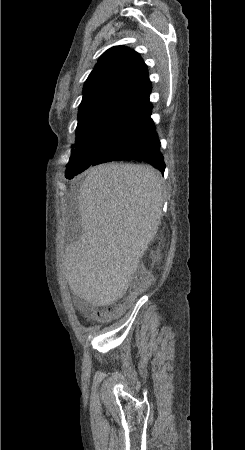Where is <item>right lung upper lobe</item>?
<instances>
[{
    "instance_id": "right-lung-upper-lobe-1",
    "label": "right lung upper lobe",
    "mask_w": 245,
    "mask_h": 450,
    "mask_svg": "<svg viewBox=\"0 0 245 450\" xmlns=\"http://www.w3.org/2000/svg\"><path fill=\"white\" fill-rule=\"evenodd\" d=\"M151 82L140 55L116 46L100 57L83 87L79 112L92 107H117L143 113L152 108Z\"/></svg>"
}]
</instances>
